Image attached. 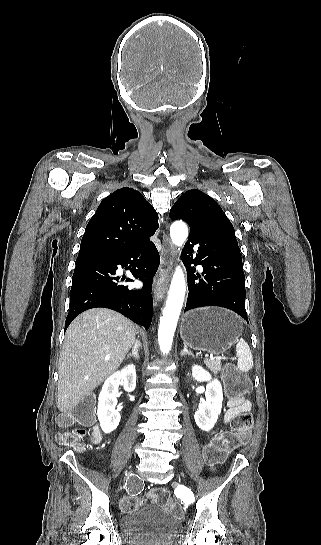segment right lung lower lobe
<instances>
[{"label": "right lung lower lobe", "instance_id": "obj_1", "mask_svg": "<svg viewBox=\"0 0 321 545\" xmlns=\"http://www.w3.org/2000/svg\"><path fill=\"white\" fill-rule=\"evenodd\" d=\"M160 263L159 253L149 239L126 253L112 257L93 259L76 264L70 291V309L65 330L72 320L83 311L95 307L113 309L147 330L152 320L153 300L151 281ZM143 281L141 290L119 285L117 265L127 268ZM126 281H132L127 278Z\"/></svg>", "mask_w": 321, "mask_h": 545}]
</instances>
